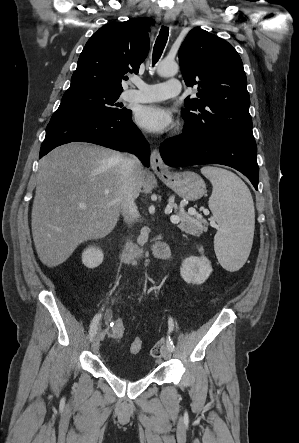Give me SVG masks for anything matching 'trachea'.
I'll return each mask as SVG.
<instances>
[{"label":"trachea","instance_id":"obj_1","mask_svg":"<svg viewBox=\"0 0 299 443\" xmlns=\"http://www.w3.org/2000/svg\"><path fill=\"white\" fill-rule=\"evenodd\" d=\"M168 36H169V28L163 26L160 30V33L154 45L153 55H152L153 64H155L161 57V54L168 40Z\"/></svg>","mask_w":299,"mask_h":443}]
</instances>
